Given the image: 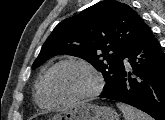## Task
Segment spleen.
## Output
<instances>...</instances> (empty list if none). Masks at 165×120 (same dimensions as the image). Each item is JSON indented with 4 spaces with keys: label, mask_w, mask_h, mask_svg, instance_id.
I'll return each instance as SVG.
<instances>
[{
    "label": "spleen",
    "mask_w": 165,
    "mask_h": 120,
    "mask_svg": "<svg viewBox=\"0 0 165 120\" xmlns=\"http://www.w3.org/2000/svg\"><path fill=\"white\" fill-rule=\"evenodd\" d=\"M117 106L122 111L125 120H153L149 115L129 105L117 103Z\"/></svg>",
    "instance_id": "obj_1"
}]
</instances>
